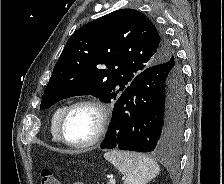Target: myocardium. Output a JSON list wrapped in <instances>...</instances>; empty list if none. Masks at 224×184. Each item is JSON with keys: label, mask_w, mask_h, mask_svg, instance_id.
Here are the masks:
<instances>
[{"label": "myocardium", "mask_w": 224, "mask_h": 184, "mask_svg": "<svg viewBox=\"0 0 224 184\" xmlns=\"http://www.w3.org/2000/svg\"><path fill=\"white\" fill-rule=\"evenodd\" d=\"M79 106H90L97 110L100 120L95 135L88 141L83 143L70 142L64 131L65 122L73 109ZM111 122V110L106 103L96 98H80L65 107L58 123L59 139L65 145L74 149H86L101 142L109 129Z\"/></svg>", "instance_id": "obj_1"}]
</instances>
